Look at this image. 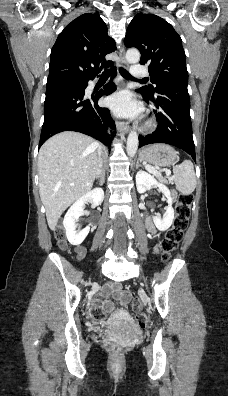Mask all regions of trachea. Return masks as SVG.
<instances>
[{"instance_id": "3493384b", "label": "trachea", "mask_w": 228, "mask_h": 396, "mask_svg": "<svg viewBox=\"0 0 228 396\" xmlns=\"http://www.w3.org/2000/svg\"><path fill=\"white\" fill-rule=\"evenodd\" d=\"M119 71H120V74H121L124 78L130 79V80H136V79H135L134 77H132V76L129 74V72L126 71L125 69L120 68ZM102 76H110V71L107 70V69H105L104 72L102 73ZM140 81H145V82H146L147 79H142V80H140Z\"/></svg>"}]
</instances>
